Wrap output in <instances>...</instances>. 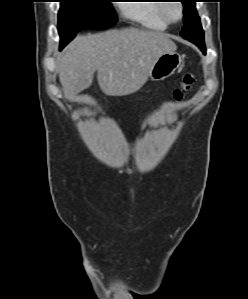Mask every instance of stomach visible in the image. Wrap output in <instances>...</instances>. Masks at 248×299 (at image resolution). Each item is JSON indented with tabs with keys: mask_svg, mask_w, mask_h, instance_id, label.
Instances as JSON below:
<instances>
[{
	"mask_svg": "<svg viewBox=\"0 0 248 299\" xmlns=\"http://www.w3.org/2000/svg\"><path fill=\"white\" fill-rule=\"evenodd\" d=\"M181 62V56L175 51L164 53L153 65L149 77L153 81L163 80L172 75Z\"/></svg>",
	"mask_w": 248,
	"mask_h": 299,
	"instance_id": "1",
	"label": "stomach"
}]
</instances>
